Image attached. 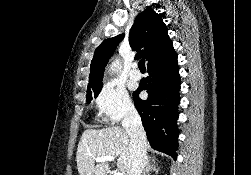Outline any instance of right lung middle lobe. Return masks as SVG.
Returning a JSON list of instances; mask_svg holds the SVG:
<instances>
[{
  "mask_svg": "<svg viewBox=\"0 0 251 175\" xmlns=\"http://www.w3.org/2000/svg\"><path fill=\"white\" fill-rule=\"evenodd\" d=\"M102 86L87 88V102L92 100V95L96 98L101 91Z\"/></svg>",
  "mask_w": 251,
  "mask_h": 175,
  "instance_id": "obj_1",
  "label": "right lung middle lobe"
}]
</instances>
